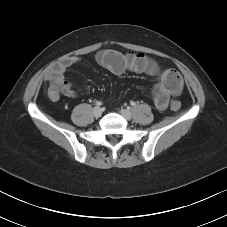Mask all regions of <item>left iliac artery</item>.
Here are the masks:
<instances>
[{
	"label": "left iliac artery",
	"mask_w": 227,
	"mask_h": 227,
	"mask_svg": "<svg viewBox=\"0 0 227 227\" xmlns=\"http://www.w3.org/2000/svg\"><path fill=\"white\" fill-rule=\"evenodd\" d=\"M130 104H131V106H135V102L134 101H131Z\"/></svg>",
	"instance_id": "44dca946"
}]
</instances>
